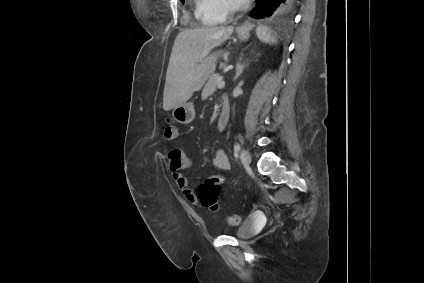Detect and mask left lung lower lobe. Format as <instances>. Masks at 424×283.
I'll return each mask as SVG.
<instances>
[{
    "label": "left lung lower lobe",
    "instance_id": "obj_1",
    "mask_svg": "<svg viewBox=\"0 0 424 283\" xmlns=\"http://www.w3.org/2000/svg\"><path fill=\"white\" fill-rule=\"evenodd\" d=\"M298 0H258L256 7L251 11V17L267 19L288 14Z\"/></svg>",
    "mask_w": 424,
    "mask_h": 283
}]
</instances>
